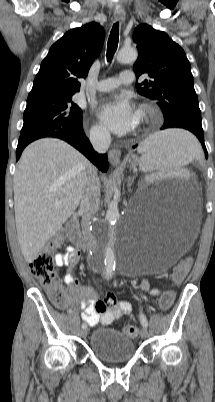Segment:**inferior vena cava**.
Returning <instances> with one entry per match:
<instances>
[{"mask_svg": "<svg viewBox=\"0 0 215 402\" xmlns=\"http://www.w3.org/2000/svg\"><path fill=\"white\" fill-rule=\"evenodd\" d=\"M90 141L97 152L105 153L110 146L111 136L108 130L99 129L91 134ZM100 188V181L96 169L95 167H91L87 174L79 212L82 215V232L86 248L88 251H92L93 253L97 250V240L95 235L98 234L99 228L96 227L92 231L90 229V221L99 209Z\"/></svg>", "mask_w": 215, "mask_h": 402, "instance_id": "obj_1", "label": "inferior vena cava"}]
</instances>
